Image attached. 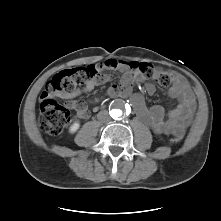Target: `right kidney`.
Instances as JSON below:
<instances>
[{
	"label": "right kidney",
	"instance_id": "obj_1",
	"mask_svg": "<svg viewBox=\"0 0 221 221\" xmlns=\"http://www.w3.org/2000/svg\"><path fill=\"white\" fill-rule=\"evenodd\" d=\"M80 127V124L78 121H75L70 127H69V132L70 133H75Z\"/></svg>",
	"mask_w": 221,
	"mask_h": 221
}]
</instances>
